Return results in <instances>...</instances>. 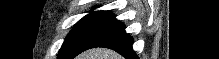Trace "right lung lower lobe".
Segmentation results:
<instances>
[{
    "label": "right lung lower lobe",
    "mask_w": 219,
    "mask_h": 59,
    "mask_svg": "<svg viewBox=\"0 0 219 59\" xmlns=\"http://www.w3.org/2000/svg\"><path fill=\"white\" fill-rule=\"evenodd\" d=\"M133 39L125 32L122 24L112 32L98 40L92 48L106 47L115 50L127 59H138L132 48Z\"/></svg>",
    "instance_id": "obj_1"
}]
</instances>
